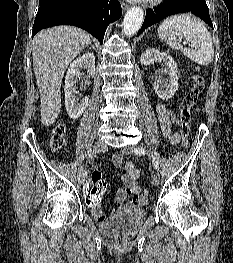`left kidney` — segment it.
<instances>
[{"mask_svg":"<svg viewBox=\"0 0 233 263\" xmlns=\"http://www.w3.org/2000/svg\"><path fill=\"white\" fill-rule=\"evenodd\" d=\"M141 64L149 66L155 61H162L164 63V73L168 75V84L165 81L158 80L154 82L153 87L155 93L162 100H169L178 90V76L177 65L173 58L165 52H160L158 49H147L140 57Z\"/></svg>","mask_w":233,"mask_h":263,"instance_id":"obj_1","label":"left kidney"}]
</instances>
